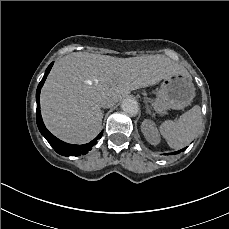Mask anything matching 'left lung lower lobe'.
<instances>
[{
  "label": "left lung lower lobe",
  "instance_id": "obj_1",
  "mask_svg": "<svg viewBox=\"0 0 229 229\" xmlns=\"http://www.w3.org/2000/svg\"><path fill=\"white\" fill-rule=\"evenodd\" d=\"M187 147H185L184 149H182V150H179V151H176V152H173L172 154H179L180 152H182V151H184L185 149H186Z\"/></svg>",
  "mask_w": 229,
  "mask_h": 229
}]
</instances>
